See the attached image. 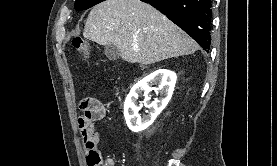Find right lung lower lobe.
<instances>
[{"label": "right lung lower lobe", "mask_w": 277, "mask_h": 166, "mask_svg": "<svg viewBox=\"0 0 277 166\" xmlns=\"http://www.w3.org/2000/svg\"><path fill=\"white\" fill-rule=\"evenodd\" d=\"M165 14L209 52L212 0H141Z\"/></svg>", "instance_id": "right-lung-lower-lobe-1"}]
</instances>
